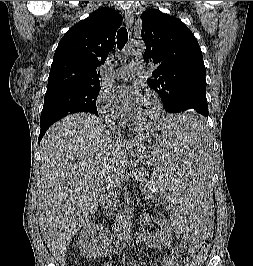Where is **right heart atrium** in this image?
<instances>
[{
    "label": "right heart atrium",
    "mask_w": 253,
    "mask_h": 266,
    "mask_svg": "<svg viewBox=\"0 0 253 266\" xmlns=\"http://www.w3.org/2000/svg\"><path fill=\"white\" fill-rule=\"evenodd\" d=\"M96 106L105 122L122 123L125 121L122 109L109 91L105 89L100 90L96 99Z\"/></svg>",
    "instance_id": "right-heart-atrium-1"
}]
</instances>
